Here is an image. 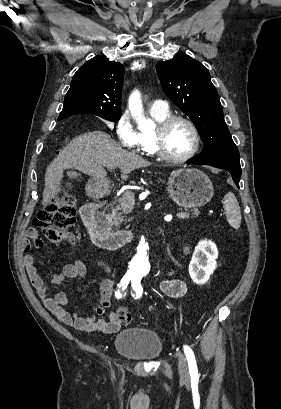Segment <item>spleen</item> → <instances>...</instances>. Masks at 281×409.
I'll return each instance as SVG.
<instances>
[{
    "mask_svg": "<svg viewBox=\"0 0 281 409\" xmlns=\"http://www.w3.org/2000/svg\"><path fill=\"white\" fill-rule=\"evenodd\" d=\"M223 205L229 225L233 229H239L241 225V211L239 202L233 192H227L223 198Z\"/></svg>",
    "mask_w": 281,
    "mask_h": 409,
    "instance_id": "obj_1",
    "label": "spleen"
}]
</instances>
